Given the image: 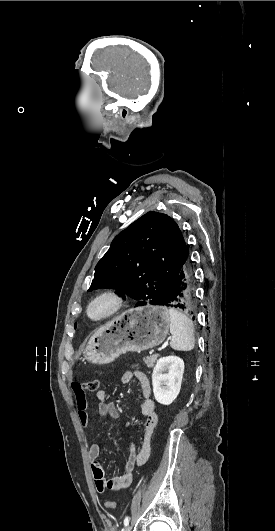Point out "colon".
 Here are the masks:
<instances>
[{"label": "colon", "mask_w": 275, "mask_h": 531, "mask_svg": "<svg viewBox=\"0 0 275 531\" xmlns=\"http://www.w3.org/2000/svg\"><path fill=\"white\" fill-rule=\"evenodd\" d=\"M100 380L98 378H93L85 381V392L89 393H95L99 390ZM105 506L108 510H115L116 509V501L115 500H107L105 502Z\"/></svg>", "instance_id": "1"}]
</instances>
